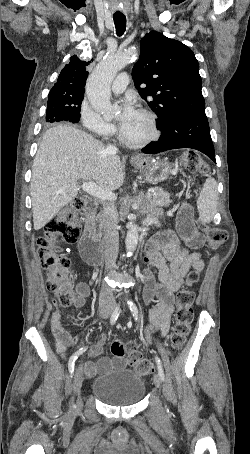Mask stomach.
Masks as SVG:
<instances>
[{
	"mask_svg": "<svg viewBox=\"0 0 250 454\" xmlns=\"http://www.w3.org/2000/svg\"><path fill=\"white\" fill-rule=\"evenodd\" d=\"M131 164L153 184L163 181L173 172V165L166 158L154 160L149 156L139 155L131 160Z\"/></svg>",
	"mask_w": 250,
	"mask_h": 454,
	"instance_id": "stomach-1",
	"label": "stomach"
}]
</instances>
